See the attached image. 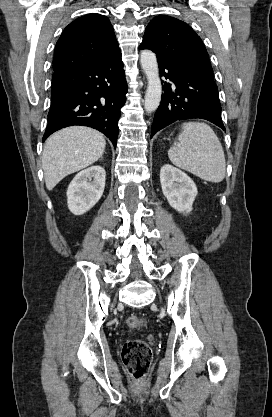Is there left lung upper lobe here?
I'll list each match as a JSON object with an SVG mask.
<instances>
[{"instance_id": "left-lung-upper-lobe-1", "label": "left lung upper lobe", "mask_w": 272, "mask_h": 417, "mask_svg": "<svg viewBox=\"0 0 272 417\" xmlns=\"http://www.w3.org/2000/svg\"><path fill=\"white\" fill-rule=\"evenodd\" d=\"M142 49L155 52L158 61L182 64L213 78L209 55L195 31L170 16H157L146 27Z\"/></svg>"}]
</instances>
